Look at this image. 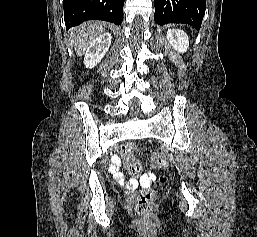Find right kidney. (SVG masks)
Segmentation results:
<instances>
[{"label":"right kidney","instance_id":"right-kidney-1","mask_svg":"<svg viewBox=\"0 0 257 237\" xmlns=\"http://www.w3.org/2000/svg\"><path fill=\"white\" fill-rule=\"evenodd\" d=\"M111 39L110 33H103L93 40L84 56V65L87 68H93L101 61L111 45Z\"/></svg>","mask_w":257,"mask_h":237}]
</instances>
